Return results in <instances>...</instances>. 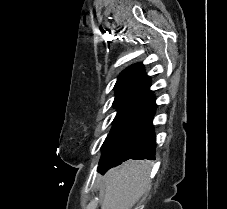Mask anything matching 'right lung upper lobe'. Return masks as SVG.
Returning a JSON list of instances; mask_svg holds the SVG:
<instances>
[{"label": "right lung upper lobe", "mask_w": 227, "mask_h": 209, "mask_svg": "<svg viewBox=\"0 0 227 209\" xmlns=\"http://www.w3.org/2000/svg\"><path fill=\"white\" fill-rule=\"evenodd\" d=\"M150 80L144 72L141 63L126 68L118 77L115 84V100L113 105L123 101L155 109V99L149 90Z\"/></svg>", "instance_id": "cb5924a9"}]
</instances>
